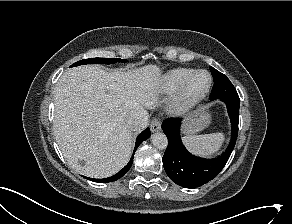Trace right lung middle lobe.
Wrapping results in <instances>:
<instances>
[{
	"label": "right lung middle lobe",
	"instance_id": "1",
	"mask_svg": "<svg viewBox=\"0 0 292 224\" xmlns=\"http://www.w3.org/2000/svg\"><path fill=\"white\" fill-rule=\"evenodd\" d=\"M117 62H126V60L123 59H107V58H90V59H83L81 61H78L74 63L71 67L73 66H79V65H84V64H113Z\"/></svg>",
	"mask_w": 292,
	"mask_h": 224
}]
</instances>
